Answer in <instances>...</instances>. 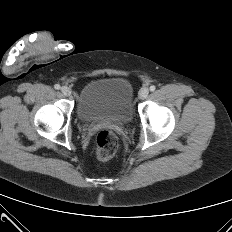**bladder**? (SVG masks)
Instances as JSON below:
<instances>
[{"label":"bladder","instance_id":"bladder-1","mask_svg":"<svg viewBox=\"0 0 232 232\" xmlns=\"http://www.w3.org/2000/svg\"><path fill=\"white\" fill-rule=\"evenodd\" d=\"M133 89L123 77L95 79L80 90L76 113L84 122L127 123L134 116Z\"/></svg>","mask_w":232,"mask_h":232}]
</instances>
